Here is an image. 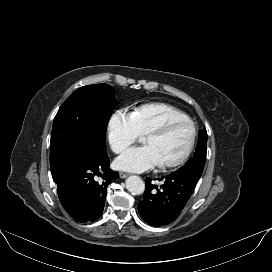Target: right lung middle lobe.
Listing matches in <instances>:
<instances>
[{
	"label": "right lung middle lobe",
	"mask_w": 272,
	"mask_h": 272,
	"mask_svg": "<svg viewBox=\"0 0 272 272\" xmlns=\"http://www.w3.org/2000/svg\"><path fill=\"white\" fill-rule=\"evenodd\" d=\"M116 105L114 89L108 84L81 87L66 99L53 122L51 173L76 158L106 154V128Z\"/></svg>",
	"instance_id": "obj_1"
}]
</instances>
